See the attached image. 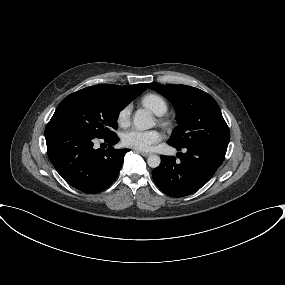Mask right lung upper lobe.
<instances>
[{
	"mask_svg": "<svg viewBox=\"0 0 285 285\" xmlns=\"http://www.w3.org/2000/svg\"><path fill=\"white\" fill-rule=\"evenodd\" d=\"M148 84H137V85H130V86H118V85H95L90 86L82 91L88 92H96L100 94L109 95L125 103H129L134 98H136L139 94L147 89Z\"/></svg>",
	"mask_w": 285,
	"mask_h": 285,
	"instance_id": "cb5924a9",
	"label": "right lung upper lobe"
}]
</instances>
